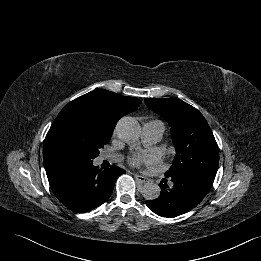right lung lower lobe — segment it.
I'll list each match as a JSON object with an SVG mask.
<instances>
[{
    "instance_id": "98d812e1",
    "label": "right lung lower lobe",
    "mask_w": 261,
    "mask_h": 261,
    "mask_svg": "<svg viewBox=\"0 0 261 261\" xmlns=\"http://www.w3.org/2000/svg\"><path fill=\"white\" fill-rule=\"evenodd\" d=\"M46 173L57 199L68 209L84 213L110 197L116 179L125 171L117 166L102 171L90 162L57 167Z\"/></svg>"
}]
</instances>
